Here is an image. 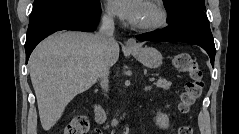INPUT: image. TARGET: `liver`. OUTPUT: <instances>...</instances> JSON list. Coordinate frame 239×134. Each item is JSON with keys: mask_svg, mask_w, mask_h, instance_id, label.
Returning a JSON list of instances; mask_svg holds the SVG:
<instances>
[{"mask_svg": "<svg viewBox=\"0 0 239 134\" xmlns=\"http://www.w3.org/2000/svg\"><path fill=\"white\" fill-rule=\"evenodd\" d=\"M97 35L60 32L42 41L28 65L37 98L42 128L49 130L61 118L67 104L95 84ZM119 58L117 42L111 47V64Z\"/></svg>", "mask_w": 239, "mask_h": 134, "instance_id": "6515ba94", "label": "liver"}]
</instances>
